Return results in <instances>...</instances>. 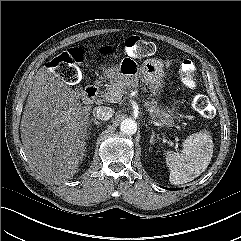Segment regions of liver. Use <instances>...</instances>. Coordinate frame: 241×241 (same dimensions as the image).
Instances as JSON below:
<instances>
[{
    "label": "liver",
    "mask_w": 241,
    "mask_h": 241,
    "mask_svg": "<svg viewBox=\"0 0 241 241\" xmlns=\"http://www.w3.org/2000/svg\"><path fill=\"white\" fill-rule=\"evenodd\" d=\"M78 90L41 68L21 119L25 153L48 182L71 179L83 160L91 106H82Z\"/></svg>",
    "instance_id": "1"
}]
</instances>
